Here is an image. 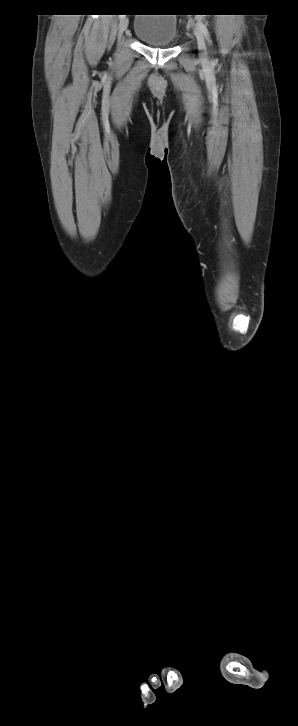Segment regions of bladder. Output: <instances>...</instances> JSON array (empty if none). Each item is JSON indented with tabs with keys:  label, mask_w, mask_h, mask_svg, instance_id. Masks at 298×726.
I'll use <instances>...</instances> for the list:
<instances>
[{
	"label": "bladder",
	"mask_w": 298,
	"mask_h": 726,
	"mask_svg": "<svg viewBox=\"0 0 298 726\" xmlns=\"http://www.w3.org/2000/svg\"><path fill=\"white\" fill-rule=\"evenodd\" d=\"M133 32L146 45L169 47L177 39V20L166 13L138 14Z\"/></svg>",
	"instance_id": "1"
}]
</instances>
